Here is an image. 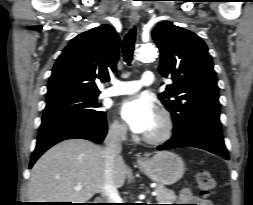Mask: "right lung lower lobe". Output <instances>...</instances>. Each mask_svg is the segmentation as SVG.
Instances as JSON below:
<instances>
[{
    "label": "right lung lower lobe",
    "mask_w": 253,
    "mask_h": 205,
    "mask_svg": "<svg viewBox=\"0 0 253 205\" xmlns=\"http://www.w3.org/2000/svg\"><path fill=\"white\" fill-rule=\"evenodd\" d=\"M107 133L105 117L101 119H82L69 116L42 118L37 145L29 168L50 147L66 139H86L95 143L103 141Z\"/></svg>",
    "instance_id": "98d812e1"
}]
</instances>
